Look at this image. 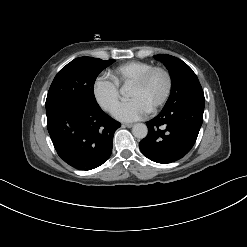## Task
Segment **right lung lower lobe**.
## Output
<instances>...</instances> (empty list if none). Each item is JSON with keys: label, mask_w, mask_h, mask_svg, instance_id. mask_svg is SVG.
<instances>
[{"label": "right lung lower lobe", "mask_w": 247, "mask_h": 247, "mask_svg": "<svg viewBox=\"0 0 247 247\" xmlns=\"http://www.w3.org/2000/svg\"><path fill=\"white\" fill-rule=\"evenodd\" d=\"M47 128L61 159L79 170L103 164L112 153L114 132L121 124L101 108L61 103L48 110Z\"/></svg>", "instance_id": "98d812e1"}]
</instances>
